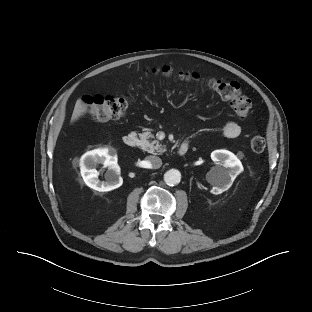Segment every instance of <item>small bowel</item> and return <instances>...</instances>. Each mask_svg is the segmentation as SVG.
Segmentation results:
<instances>
[{
    "label": "small bowel",
    "instance_id": "small-bowel-1",
    "mask_svg": "<svg viewBox=\"0 0 312 312\" xmlns=\"http://www.w3.org/2000/svg\"><path fill=\"white\" fill-rule=\"evenodd\" d=\"M223 135L227 138H236L241 134V127L234 121H227L223 125Z\"/></svg>",
    "mask_w": 312,
    "mask_h": 312
}]
</instances>
